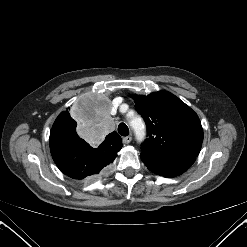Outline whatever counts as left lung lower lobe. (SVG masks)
I'll return each instance as SVG.
<instances>
[{"label": "left lung lower lobe", "mask_w": 247, "mask_h": 247, "mask_svg": "<svg viewBox=\"0 0 247 247\" xmlns=\"http://www.w3.org/2000/svg\"><path fill=\"white\" fill-rule=\"evenodd\" d=\"M144 164L152 172L164 177H175L185 172L195 161V158L168 159L140 154Z\"/></svg>", "instance_id": "0a47b994"}]
</instances>
